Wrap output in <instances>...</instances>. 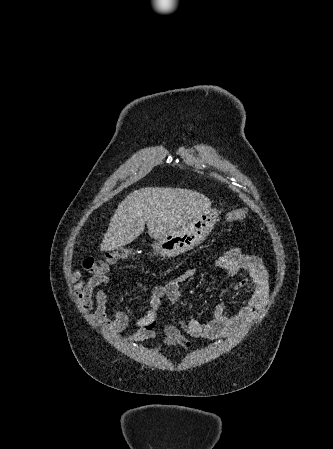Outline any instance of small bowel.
I'll return each instance as SVG.
<instances>
[{"label":"small bowel","instance_id":"obj_1","mask_svg":"<svg viewBox=\"0 0 333 449\" xmlns=\"http://www.w3.org/2000/svg\"><path fill=\"white\" fill-rule=\"evenodd\" d=\"M215 265L232 276L241 269L246 270L248 278L237 282L234 290L249 288L251 289L250 298L231 316L225 313L223 304H218L212 319L207 323L190 319L182 320L178 325L167 324L164 327L166 347L188 349L192 346L189 337L212 339L237 335L259 315L265 305L269 295L268 273L259 257L233 248L219 256L215 260ZM196 272V268L186 269L166 283L150 290L149 310L137 320L138 329L132 336L134 342L148 341L155 337L158 310L162 301L167 299L172 304L177 303L180 298V284L193 277ZM71 280L74 283V293L80 307L87 312L93 310L91 318L99 325L110 333L121 332L128 326L129 319L124 311L113 309L112 317L108 315L109 295L105 287L110 283V279L107 275L92 274L90 277H85L82 271H75L71 274ZM139 287L147 293L145 287L142 285Z\"/></svg>","mask_w":333,"mask_h":449}]
</instances>
